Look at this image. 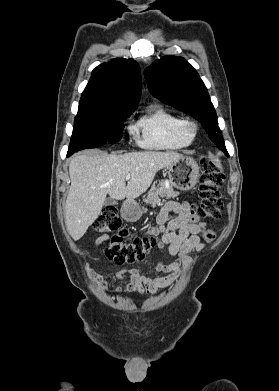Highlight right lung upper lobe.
<instances>
[{
  "label": "right lung upper lobe",
  "instance_id": "cb5924a9",
  "mask_svg": "<svg viewBox=\"0 0 279 391\" xmlns=\"http://www.w3.org/2000/svg\"><path fill=\"white\" fill-rule=\"evenodd\" d=\"M140 67L133 59L117 58L92 71L78 112L135 109L141 95Z\"/></svg>",
  "mask_w": 279,
  "mask_h": 391
}]
</instances>
